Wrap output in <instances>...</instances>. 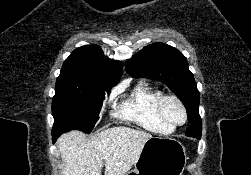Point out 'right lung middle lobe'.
<instances>
[{"instance_id":"1","label":"right lung middle lobe","mask_w":251,"mask_h":175,"mask_svg":"<svg viewBox=\"0 0 251 175\" xmlns=\"http://www.w3.org/2000/svg\"><path fill=\"white\" fill-rule=\"evenodd\" d=\"M109 87L57 82L52 100L53 133L60 136L72 129L90 133L99 119Z\"/></svg>"}]
</instances>
